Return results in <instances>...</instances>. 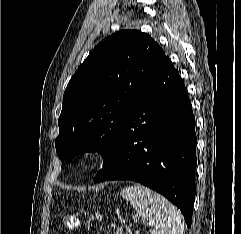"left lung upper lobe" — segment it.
Instances as JSON below:
<instances>
[{
    "label": "left lung upper lobe",
    "mask_w": 241,
    "mask_h": 234,
    "mask_svg": "<svg viewBox=\"0 0 241 234\" xmlns=\"http://www.w3.org/2000/svg\"><path fill=\"white\" fill-rule=\"evenodd\" d=\"M165 53L149 35L121 30L101 41L79 66L63 96L55 147L69 163L82 152H99L106 164L125 117Z\"/></svg>",
    "instance_id": "1"
}]
</instances>
